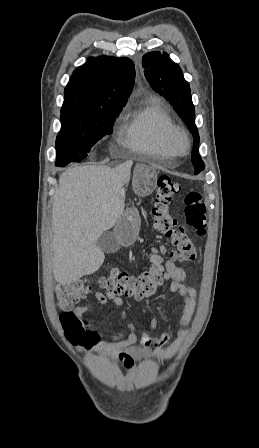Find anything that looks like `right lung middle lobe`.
Listing matches in <instances>:
<instances>
[{
	"label": "right lung middle lobe",
	"mask_w": 259,
	"mask_h": 448,
	"mask_svg": "<svg viewBox=\"0 0 259 448\" xmlns=\"http://www.w3.org/2000/svg\"><path fill=\"white\" fill-rule=\"evenodd\" d=\"M121 108L61 115V130L56 140V165L80 162L105 135L112 133Z\"/></svg>",
	"instance_id": "right-lung-middle-lobe-1"
}]
</instances>
